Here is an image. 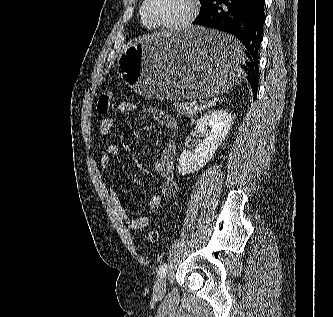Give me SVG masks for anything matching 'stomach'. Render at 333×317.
Wrapping results in <instances>:
<instances>
[{"mask_svg": "<svg viewBox=\"0 0 333 317\" xmlns=\"http://www.w3.org/2000/svg\"><path fill=\"white\" fill-rule=\"evenodd\" d=\"M245 45L226 29L190 27L129 44L118 57L125 83L148 99L198 100L236 88Z\"/></svg>", "mask_w": 333, "mask_h": 317, "instance_id": "obj_1", "label": "stomach"}]
</instances>
